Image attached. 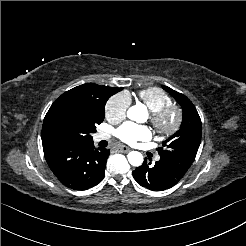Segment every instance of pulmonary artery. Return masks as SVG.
<instances>
[{
  "label": "pulmonary artery",
  "instance_id": "e3ab8cb5",
  "mask_svg": "<svg viewBox=\"0 0 246 246\" xmlns=\"http://www.w3.org/2000/svg\"><path fill=\"white\" fill-rule=\"evenodd\" d=\"M108 137H109V135H108L107 133H99V134L97 135V140L106 139V138H108Z\"/></svg>",
  "mask_w": 246,
  "mask_h": 246
}]
</instances>
